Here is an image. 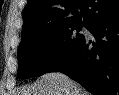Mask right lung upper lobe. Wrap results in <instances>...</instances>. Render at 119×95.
I'll list each match as a JSON object with an SVG mask.
<instances>
[{
  "mask_svg": "<svg viewBox=\"0 0 119 95\" xmlns=\"http://www.w3.org/2000/svg\"><path fill=\"white\" fill-rule=\"evenodd\" d=\"M116 14L119 0H28L22 36L47 24L79 23L89 27Z\"/></svg>",
  "mask_w": 119,
  "mask_h": 95,
  "instance_id": "obj_1",
  "label": "right lung upper lobe"
}]
</instances>
